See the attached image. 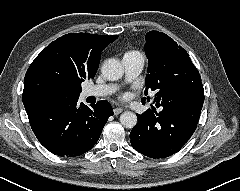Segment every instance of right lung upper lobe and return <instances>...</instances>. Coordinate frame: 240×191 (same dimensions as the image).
Returning a JSON list of instances; mask_svg holds the SVG:
<instances>
[{
  "label": "right lung upper lobe",
  "instance_id": "1",
  "mask_svg": "<svg viewBox=\"0 0 240 191\" xmlns=\"http://www.w3.org/2000/svg\"><path fill=\"white\" fill-rule=\"evenodd\" d=\"M117 38V35L69 33L53 41L27 70L23 104L40 99L79 97L81 83L96 74L101 51Z\"/></svg>",
  "mask_w": 240,
  "mask_h": 191
}]
</instances>
